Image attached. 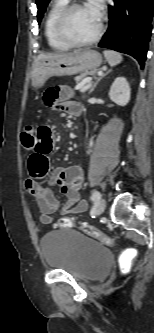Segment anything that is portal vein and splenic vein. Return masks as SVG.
<instances>
[{"instance_id": "obj_1", "label": "portal vein and splenic vein", "mask_w": 154, "mask_h": 333, "mask_svg": "<svg viewBox=\"0 0 154 333\" xmlns=\"http://www.w3.org/2000/svg\"><path fill=\"white\" fill-rule=\"evenodd\" d=\"M97 74H98V76H101V75H103V71H99ZM91 80H92L91 78H86V79H84V80L82 81V83H79V84L75 87V89H76V90H79L80 92H84L87 88L90 87V82H91ZM86 83H88V85L85 86Z\"/></svg>"}]
</instances>
